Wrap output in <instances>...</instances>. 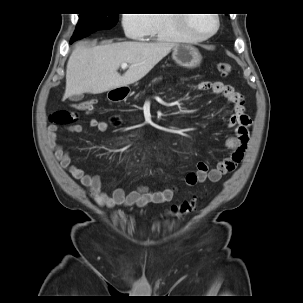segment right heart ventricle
<instances>
[{
    "label": "right heart ventricle",
    "instance_id": "obj_1",
    "mask_svg": "<svg viewBox=\"0 0 303 303\" xmlns=\"http://www.w3.org/2000/svg\"><path fill=\"white\" fill-rule=\"evenodd\" d=\"M148 38H159L167 42H182L188 39L178 14H151Z\"/></svg>",
    "mask_w": 303,
    "mask_h": 303
}]
</instances>
